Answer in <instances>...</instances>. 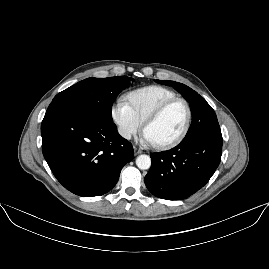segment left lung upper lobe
<instances>
[{
	"mask_svg": "<svg viewBox=\"0 0 269 269\" xmlns=\"http://www.w3.org/2000/svg\"><path fill=\"white\" fill-rule=\"evenodd\" d=\"M156 82L174 86L189 102L192 122L183 142H189L206 135L221 136V130L214 110L196 91L175 81L156 80Z\"/></svg>",
	"mask_w": 269,
	"mask_h": 269,
	"instance_id": "5c2ea615",
	"label": "left lung upper lobe"
}]
</instances>
